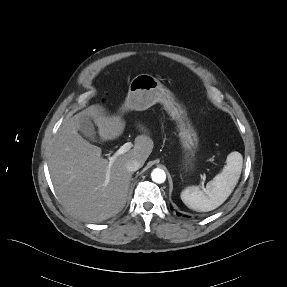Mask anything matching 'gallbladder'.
Instances as JSON below:
<instances>
[{"label":"gallbladder","instance_id":"obj_1","mask_svg":"<svg viewBox=\"0 0 287 287\" xmlns=\"http://www.w3.org/2000/svg\"><path fill=\"white\" fill-rule=\"evenodd\" d=\"M80 133L91 141L96 140V131L94 124L88 117H83L80 119L79 128Z\"/></svg>","mask_w":287,"mask_h":287}]
</instances>
